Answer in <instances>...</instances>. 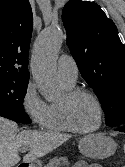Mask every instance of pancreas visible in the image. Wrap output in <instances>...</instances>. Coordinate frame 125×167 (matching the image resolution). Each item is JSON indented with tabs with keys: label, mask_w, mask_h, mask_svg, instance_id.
I'll list each match as a JSON object with an SVG mask.
<instances>
[{
	"label": "pancreas",
	"mask_w": 125,
	"mask_h": 167,
	"mask_svg": "<svg viewBox=\"0 0 125 167\" xmlns=\"http://www.w3.org/2000/svg\"><path fill=\"white\" fill-rule=\"evenodd\" d=\"M68 165H69L68 158L66 157L57 158L56 157V158L51 159L49 163L44 167H64Z\"/></svg>",
	"instance_id": "1"
}]
</instances>
